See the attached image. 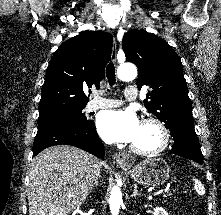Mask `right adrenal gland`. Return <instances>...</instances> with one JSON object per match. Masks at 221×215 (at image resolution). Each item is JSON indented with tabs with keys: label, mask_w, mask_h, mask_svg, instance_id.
I'll use <instances>...</instances> for the list:
<instances>
[{
	"label": "right adrenal gland",
	"mask_w": 221,
	"mask_h": 215,
	"mask_svg": "<svg viewBox=\"0 0 221 215\" xmlns=\"http://www.w3.org/2000/svg\"><path fill=\"white\" fill-rule=\"evenodd\" d=\"M99 177H100V174L95 178L94 183L91 185L90 193L92 192V190L94 189L95 186H98V179H99Z\"/></svg>",
	"instance_id": "right-adrenal-gland-1"
}]
</instances>
